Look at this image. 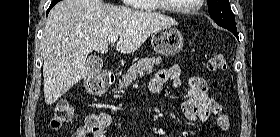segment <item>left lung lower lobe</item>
I'll list each match as a JSON object with an SVG mask.
<instances>
[{
  "label": "left lung lower lobe",
  "mask_w": 280,
  "mask_h": 137,
  "mask_svg": "<svg viewBox=\"0 0 280 137\" xmlns=\"http://www.w3.org/2000/svg\"><path fill=\"white\" fill-rule=\"evenodd\" d=\"M229 31H231L238 38L237 30H229Z\"/></svg>",
  "instance_id": "obj_1"
}]
</instances>
